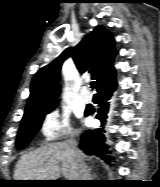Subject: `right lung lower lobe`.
<instances>
[{"instance_id": "obj_1", "label": "right lung lower lobe", "mask_w": 160, "mask_h": 187, "mask_svg": "<svg viewBox=\"0 0 160 187\" xmlns=\"http://www.w3.org/2000/svg\"><path fill=\"white\" fill-rule=\"evenodd\" d=\"M116 73L110 78L102 81L97 89V94L99 96V108L94 109L92 106H87L85 110V116L90 114H96V118L101 121L104 125L107 119V113L109 109L108 100L110 99L112 93L116 90ZM105 131L103 128H98L94 130H87L81 135V143L79 145L87 155H96L107 163L110 162L111 157L108 155V146L104 144L105 141ZM78 186L89 187L87 184H82Z\"/></svg>"}]
</instances>
